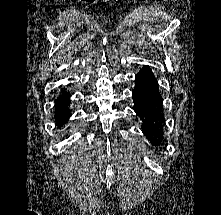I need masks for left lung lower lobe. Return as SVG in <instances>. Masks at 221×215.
<instances>
[{
    "instance_id": "1",
    "label": "left lung lower lobe",
    "mask_w": 221,
    "mask_h": 215,
    "mask_svg": "<svg viewBox=\"0 0 221 215\" xmlns=\"http://www.w3.org/2000/svg\"><path fill=\"white\" fill-rule=\"evenodd\" d=\"M132 92L134 110L143 121L142 131L155 145L160 135L161 99L156 79L148 66L136 75Z\"/></svg>"
}]
</instances>
